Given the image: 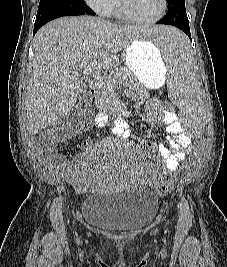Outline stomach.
Listing matches in <instances>:
<instances>
[{
  "instance_id": "obj_1",
  "label": "stomach",
  "mask_w": 227,
  "mask_h": 267,
  "mask_svg": "<svg viewBox=\"0 0 227 267\" xmlns=\"http://www.w3.org/2000/svg\"><path fill=\"white\" fill-rule=\"evenodd\" d=\"M153 43L134 40L124 54L126 68L143 85L155 89L165 82L169 65L163 55H155Z\"/></svg>"
}]
</instances>
